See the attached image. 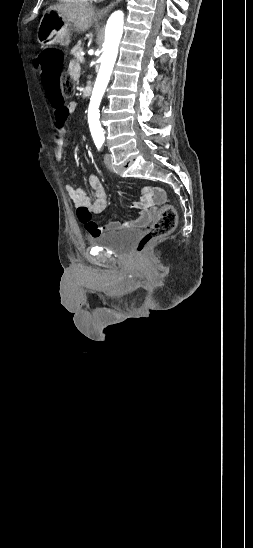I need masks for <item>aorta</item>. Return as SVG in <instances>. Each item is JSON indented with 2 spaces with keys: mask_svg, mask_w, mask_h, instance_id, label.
<instances>
[{
  "mask_svg": "<svg viewBox=\"0 0 253 548\" xmlns=\"http://www.w3.org/2000/svg\"><path fill=\"white\" fill-rule=\"evenodd\" d=\"M123 25L124 14L122 11H115L107 21L103 45L104 52L100 59L101 65L92 91L88 110L90 129L94 139L104 138L103 129L99 122L98 109L117 58L118 47L123 33Z\"/></svg>",
  "mask_w": 253,
  "mask_h": 548,
  "instance_id": "obj_1",
  "label": "aorta"
}]
</instances>
